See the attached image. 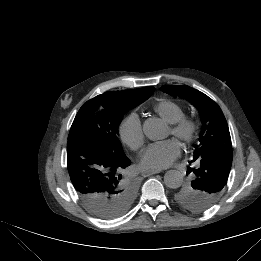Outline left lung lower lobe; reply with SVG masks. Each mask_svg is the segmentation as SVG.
<instances>
[{
	"label": "left lung lower lobe",
	"instance_id": "left-lung-lower-lobe-1",
	"mask_svg": "<svg viewBox=\"0 0 261 261\" xmlns=\"http://www.w3.org/2000/svg\"><path fill=\"white\" fill-rule=\"evenodd\" d=\"M191 163V161H190ZM188 173L193 172V176H194V180L195 179H206L207 177L211 176L212 173V169L210 168V164L208 162H206L205 164L195 168V169H191L190 167H188ZM223 177V176H221Z\"/></svg>",
	"mask_w": 261,
	"mask_h": 261
}]
</instances>
